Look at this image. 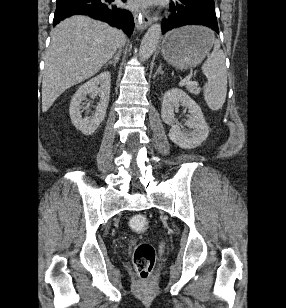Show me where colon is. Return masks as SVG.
I'll use <instances>...</instances> for the list:
<instances>
[{
	"mask_svg": "<svg viewBox=\"0 0 286 308\" xmlns=\"http://www.w3.org/2000/svg\"><path fill=\"white\" fill-rule=\"evenodd\" d=\"M130 227L136 232H144L149 227V220L143 214L134 215L130 219ZM156 253L154 247L149 243H140L134 250L133 264L139 277L146 281L150 278L154 268Z\"/></svg>",
	"mask_w": 286,
	"mask_h": 308,
	"instance_id": "colon-1",
	"label": "colon"
}]
</instances>
